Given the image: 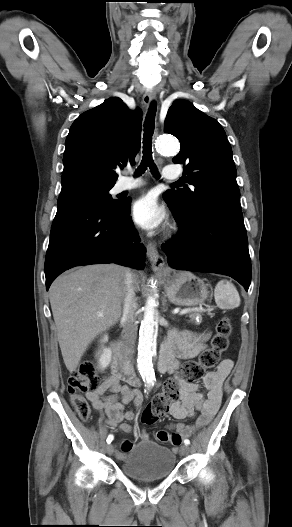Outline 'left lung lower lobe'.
<instances>
[{"label":"left lung lower lobe","mask_w":292,"mask_h":527,"mask_svg":"<svg viewBox=\"0 0 292 527\" xmlns=\"http://www.w3.org/2000/svg\"><path fill=\"white\" fill-rule=\"evenodd\" d=\"M178 224L176 238L162 245L172 268L228 275L248 290L251 263L241 212L206 211Z\"/></svg>","instance_id":"0a47b994"}]
</instances>
